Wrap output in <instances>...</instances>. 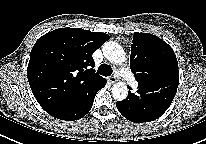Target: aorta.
<instances>
[{
    "mask_svg": "<svg viewBox=\"0 0 206 144\" xmlns=\"http://www.w3.org/2000/svg\"><path fill=\"white\" fill-rule=\"evenodd\" d=\"M103 55L111 63L121 64L125 60V55L122 47L114 42L108 41L103 45ZM112 95L115 100L123 101L128 96V88L124 82H118L112 87Z\"/></svg>",
    "mask_w": 206,
    "mask_h": 144,
    "instance_id": "obj_1",
    "label": "aorta"
}]
</instances>
